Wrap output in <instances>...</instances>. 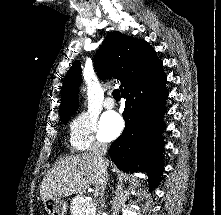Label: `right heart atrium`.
Wrapping results in <instances>:
<instances>
[{"label":"right heart atrium","instance_id":"right-heart-atrium-1","mask_svg":"<svg viewBox=\"0 0 221 215\" xmlns=\"http://www.w3.org/2000/svg\"><path fill=\"white\" fill-rule=\"evenodd\" d=\"M104 138L99 132L95 115L82 111L78 113L70 124V142L77 151L88 150L104 143Z\"/></svg>","mask_w":221,"mask_h":215}]
</instances>
